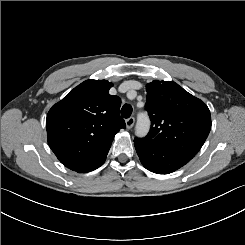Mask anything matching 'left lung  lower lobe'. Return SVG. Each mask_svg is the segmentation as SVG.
<instances>
[{
  "label": "left lung lower lobe",
  "mask_w": 245,
  "mask_h": 245,
  "mask_svg": "<svg viewBox=\"0 0 245 245\" xmlns=\"http://www.w3.org/2000/svg\"><path fill=\"white\" fill-rule=\"evenodd\" d=\"M137 154L143 166L157 174H169L183 167L189 161L164 148H155L134 140Z\"/></svg>",
  "instance_id": "left-lung-lower-lobe-1"
}]
</instances>
